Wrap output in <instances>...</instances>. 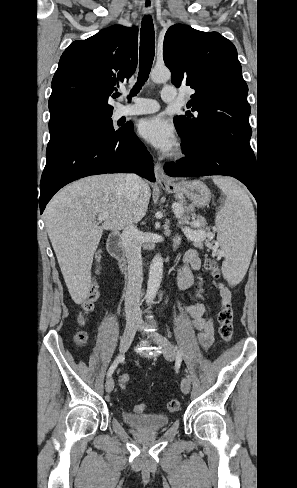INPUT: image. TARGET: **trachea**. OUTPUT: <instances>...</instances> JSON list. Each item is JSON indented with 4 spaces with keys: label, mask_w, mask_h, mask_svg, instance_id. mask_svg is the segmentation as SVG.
Segmentation results:
<instances>
[{
    "label": "trachea",
    "mask_w": 297,
    "mask_h": 488,
    "mask_svg": "<svg viewBox=\"0 0 297 488\" xmlns=\"http://www.w3.org/2000/svg\"><path fill=\"white\" fill-rule=\"evenodd\" d=\"M155 55V33L151 16H144L140 33L139 74L130 95L135 96L148 80ZM120 94H117V97ZM130 99V97H128Z\"/></svg>",
    "instance_id": "1"
}]
</instances>
